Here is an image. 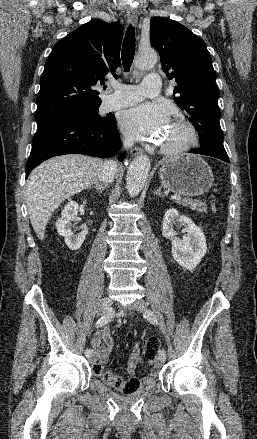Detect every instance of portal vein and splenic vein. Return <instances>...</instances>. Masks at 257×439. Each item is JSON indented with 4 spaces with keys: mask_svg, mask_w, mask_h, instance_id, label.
Segmentation results:
<instances>
[{
    "mask_svg": "<svg viewBox=\"0 0 257 439\" xmlns=\"http://www.w3.org/2000/svg\"><path fill=\"white\" fill-rule=\"evenodd\" d=\"M181 198H182V196L179 195V194H176V195L171 196V199H172V200H180Z\"/></svg>",
    "mask_w": 257,
    "mask_h": 439,
    "instance_id": "portal-vein-and-splenic-vein-1",
    "label": "portal vein and splenic vein"
}]
</instances>
